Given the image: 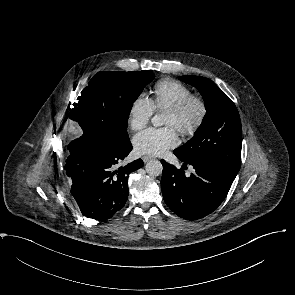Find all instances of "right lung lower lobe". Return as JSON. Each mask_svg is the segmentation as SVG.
<instances>
[{
  "instance_id": "right-lung-lower-lobe-1",
  "label": "right lung lower lobe",
  "mask_w": 295,
  "mask_h": 295,
  "mask_svg": "<svg viewBox=\"0 0 295 295\" xmlns=\"http://www.w3.org/2000/svg\"><path fill=\"white\" fill-rule=\"evenodd\" d=\"M68 149L65 170L81 213L98 221L109 219L124 207L129 194L128 176L141 168L143 161L138 159L118 168L117 164L131 152V142L114 146L88 137Z\"/></svg>"
}]
</instances>
